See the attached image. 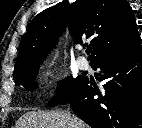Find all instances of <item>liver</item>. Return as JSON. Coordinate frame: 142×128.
Masks as SVG:
<instances>
[{
    "mask_svg": "<svg viewBox=\"0 0 142 128\" xmlns=\"http://www.w3.org/2000/svg\"><path fill=\"white\" fill-rule=\"evenodd\" d=\"M15 128H89L80 118L63 111H30Z\"/></svg>",
    "mask_w": 142,
    "mask_h": 128,
    "instance_id": "1",
    "label": "liver"
}]
</instances>
